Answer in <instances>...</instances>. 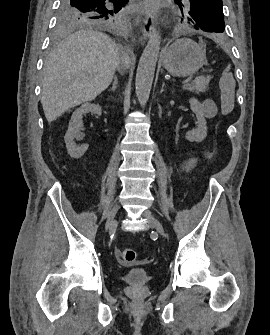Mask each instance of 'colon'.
Returning <instances> with one entry per match:
<instances>
[{
    "instance_id": "colon-1",
    "label": "colon",
    "mask_w": 270,
    "mask_h": 335,
    "mask_svg": "<svg viewBox=\"0 0 270 335\" xmlns=\"http://www.w3.org/2000/svg\"><path fill=\"white\" fill-rule=\"evenodd\" d=\"M219 78L222 79V90L219 98V109H224V116H231V109H236L234 102L235 95V79L232 72H220ZM118 259L123 263H131L136 258V252L131 248H120L117 251Z\"/></svg>"
}]
</instances>
